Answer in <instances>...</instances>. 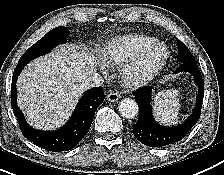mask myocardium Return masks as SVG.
<instances>
[{
  "mask_svg": "<svg viewBox=\"0 0 224 175\" xmlns=\"http://www.w3.org/2000/svg\"><path fill=\"white\" fill-rule=\"evenodd\" d=\"M155 49L162 50L159 61L150 68H144L143 64L147 55ZM170 56L167 45L160 41H154L142 48L133 58L123 64L120 77L125 86L138 88L151 82L164 69Z\"/></svg>",
  "mask_w": 224,
  "mask_h": 175,
  "instance_id": "myocardium-1",
  "label": "myocardium"
}]
</instances>
